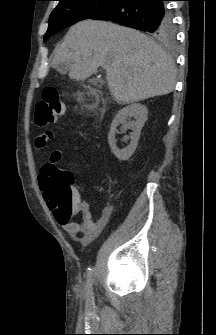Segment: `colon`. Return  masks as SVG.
<instances>
[{"label":"colon","instance_id":"obj_1","mask_svg":"<svg viewBox=\"0 0 216 335\" xmlns=\"http://www.w3.org/2000/svg\"><path fill=\"white\" fill-rule=\"evenodd\" d=\"M60 93L54 87L44 89L40 101L35 107V124L44 128L55 123L58 116L66 111ZM45 171L48 168L45 167ZM73 175L69 170H53V178L49 182L50 195L54 201L64 208L63 218L67 219L74 206V198L71 191Z\"/></svg>","mask_w":216,"mask_h":335}]
</instances>
